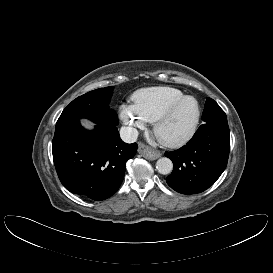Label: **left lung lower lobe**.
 I'll use <instances>...</instances> for the list:
<instances>
[{
    "instance_id": "1",
    "label": "left lung lower lobe",
    "mask_w": 273,
    "mask_h": 273,
    "mask_svg": "<svg viewBox=\"0 0 273 273\" xmlns=\"http://www.w3.org/2000/svg\"><path fill=\"white\" fill-rule=\"evenodd\" d=\"M230 150L227 122L201 125L182 148L165 152L173 162L167 184L182 194H196L209 188L225 170Z\"/></svg>"
}]
</instances>
